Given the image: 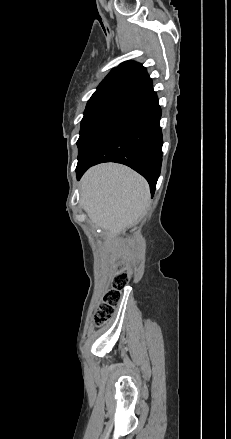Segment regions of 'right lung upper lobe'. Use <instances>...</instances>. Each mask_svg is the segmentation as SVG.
Instances as JSON below:
<instances>
[{
  "instance_id": "1",
  "label": "right lung upper lobe",
  "mask_w": 231,
  "mask_h": 439,
  "mask_svg": "<svg viewBox=\"0 0 231 439\" xmlns=\"http://www.w3.org/2000/svg\"><path fill=\"white\" fill-rule=\"evenodd\" d=\"M150 87L152 81L145 67L126 61L106 76L88 102L108 97L136 96Z\"/></svg>"
}]
</instances>
